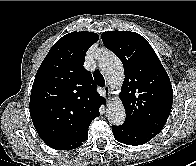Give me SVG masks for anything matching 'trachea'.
<instances>
[{"label": "trachea", "mask_w": 196, "mask_h": 166, "mask_svg": "<svg viewBox=\"0 0 196 166\" xmlns=\"http://www.w3.org/2000/svg\"><path fill=\"white\" fill-rule=\"evenodd\" d=\"M94 79L99 86L105 85V79H104L103 75L100 73V71L96 70L94 72Z\"/></svg>", "instance_id": "3493384b"}]
</instances>
